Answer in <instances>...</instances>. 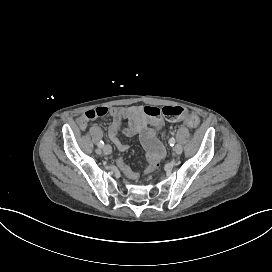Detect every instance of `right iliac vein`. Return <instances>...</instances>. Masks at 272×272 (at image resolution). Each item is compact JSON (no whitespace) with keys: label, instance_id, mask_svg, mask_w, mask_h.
Returning <instances> with one entry per match:
<instances>
[{"label":"right iliac vein","instance_id":"right-iliac-vein-1","mask_svg":"<svg viewBox=\"0 0 272 272\" xmlns=\"http://www.w3.org/2000/svg\"><path fill=\"white\" fill-rule=\"evenodd\" d=\"M103 152H104L106 155L111 154V152H112L111 146H110V145H105V146H103Z\"/></svg>","mask_w":272,"mask_h":272}]
</instances>
